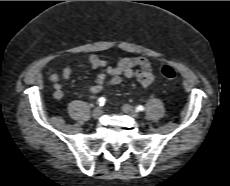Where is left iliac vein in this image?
<instances>
[{
  "label": "left iliac vein",
  "mask_w": 230,
  "mask_h": 186,
  "mask_svg": "<svg viewBox=\"0 0 230 186\" xmlns=\"http://www.w3.org/2000/svg\"><path fill=\"white\" fill-rule=\"evenodd\" d=\"M122 111H123L125 114L131 116L133 119H138V118H139L138 113H137V112L134 110V108H133L131 105H129V104H124V105L122 106Z\"/></svg>",
  "instance_id": "4c4485c4"
}]
</instances>
